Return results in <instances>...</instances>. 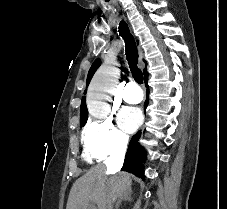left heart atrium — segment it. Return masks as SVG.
<instances>
[{
	"mask_svg": "<svg viewBox=\"0 0 227 209\" xmlns=\"http://www.w3.org/2000/svg\"><path fill=\"white\" fill-rule=\"evenodd\" d=\"M141 121V112L137 107L124 106L118 113V123L127 133L134 132Z\"/></svg>",
	"mask_w": 227,
	"mask_h": 209,
	"instance_id": "1",
	"label": "left heart atrium"
}]
</instances>
